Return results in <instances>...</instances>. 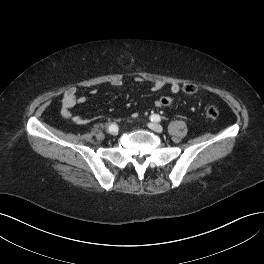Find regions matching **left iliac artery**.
I'll use <instances>...</instances> for the list:
<instances>
[{
  "instance_id": "left-iliac-artery-1",
  "label": "left iliac artery",
  "mask_w": 264,
  "mask_h": 264,
  "mask_svg": "<svg viewBox=\"0 0 264 264\" xmlns=\"http://www.w3.org/2000/svg\"><path fill=\"white\" fill-rule=\"evenodd\" d=\"M151 121L159 122L161 120V117L158 114L151 115Z\"/></svg>"
}]
</instances>
